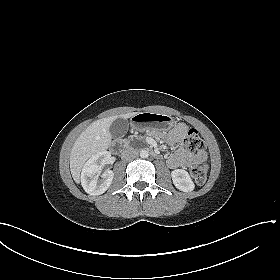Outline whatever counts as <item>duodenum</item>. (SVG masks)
Segmentation results:
<instances>
[{
  "instance_id": "duodenum-1",
  "label": "duodenum",
  "mask_w": 280,
  "mask_h": 280,
  "mask_svg": "<svg viewBox=\"0 0 280 280\" xmlns=\"http://www.w3.org/2000/svg\"><path fill=\"white\" fill-rule=\"evenodd\" d=\"M125 148H126V145L123 142H117L113 145L112 150L113 151H116V150L123 151V150H125ZM153 157L160 159L161 155L154 152Z\"/></svg>"
}]
</instances>
